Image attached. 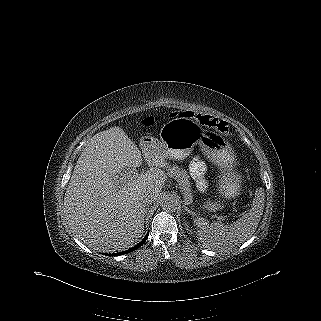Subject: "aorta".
<instances>
[{
    "label": "aorta",
    "mask_w": 321,
    "mask_h": 321,
    "mask_svg": "<svg viewBox=\"0 0 321 321\" xmlns=\"http://www.w3.org/2000/svg\"><path fill=\"white\" fill-rule=\"evenodd\" d=\"M179 204V199L173 194H166L160 200L161 208L167 212L177 210Z\"/></svg>",
    "instance_id": "aorta-1"
}]
</instances>
